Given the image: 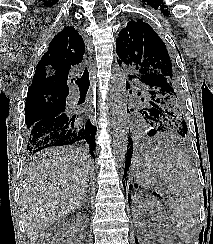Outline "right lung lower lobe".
<instances>
[{
    "mask_svg": "<svg viewBox=\"0 0 213 244\" xmlns=\"http://www.w3.org/2000/svg\"><path fill=\"white\" fill-rule=\"evenodd\" d=\"M78 118L76 114L60 112L35 123L26 134L27 153L34 154L51 146L72 145L85 139L94 156L95 128L90 120L79 124Z\"/></svg>",
    "mask_w": 213,
    "mask_h": 244,
    "instance_id": "right-lung-lower-lobe-1",
    "label": "right lung lower lobe"
}]
</instances>
